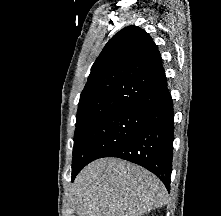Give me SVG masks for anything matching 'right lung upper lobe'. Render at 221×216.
Instances as JSON below:
<instances>
[{"label": "right lung upper lobe", "instance_id": "obj_1", "mask_svg": "<svg viewBox=\"0 0 221 216\" xmlns=\"http://www.w3.org/2000/svg\"><path fill=\"white\" fill-rule=\"evenodd\" d=\"M162 59L152 38L129 26L109 40L80 95L76 124L116 111L147 113L167 93Z\"/></svg>", "mask_w": 221, "mask_h": 216}]
</instances>
